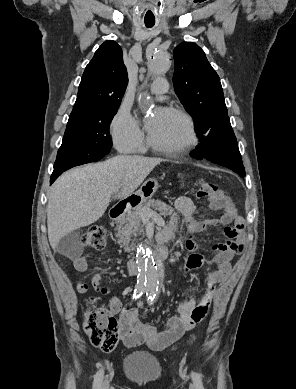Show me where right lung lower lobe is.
Masks as SVG:
<instances>
[{"label": "right lung lower lobe", "mask_w": 296, "mask_h": 389, "mask_svg": "<svg viewBox=\"0 0 296 389\" xmlns=\"http://www.w3.org/2000/svg\"><path fill=\"white\" fill-rule=\"evenodd\" d=\"M64 171H66V170L65 169H61V170L55 169L51 175L50 182L53 183L57 179V177L59 175H61Z\"/></svg>", "instance_id": "right-lung-lower-lobe-1"}]
</instances>
